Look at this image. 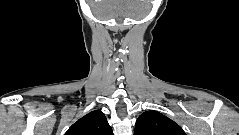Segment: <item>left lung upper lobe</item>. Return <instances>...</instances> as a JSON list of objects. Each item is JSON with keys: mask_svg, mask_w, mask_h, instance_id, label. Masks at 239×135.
Returning a JSON list of instances; mask_svg holds the SVG:
<instances>
[{"mask_svg": "<svg viewBox=\"0 0 239 135\" xmlns=\"http://www.w3.org/2000/svg\"><path fill=\"white\" fill-rule=\"evenodd\" d=\"M134 135H186L181 127L163 114L149 110L136 121Z\"/></svg>", "mask_w": 239, "mask_h": 135, "instance_id": "5c2ea615", "label": "left lung upper lobe"}]
</instances>
